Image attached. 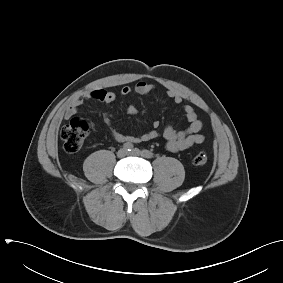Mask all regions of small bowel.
Listing matches in <instances>:
<instances>
[{
    "label": "small bowel",
    "mask_w": 283,
    "mask_h": 283,
    "mask_svg": "<svg viewBox=\"0 0 283 283\" xmlns=\"http://www.w3.org/2000/svg\"><path fill=\"white\" fill-rule=\"evenodd\" d=\"M155 86L146 81H139L133 87L124 86L121 89V94L123 96H127L129 94H137V95H146L154 91ZM167 96L175 103L182 104L183 97L174 90H168ZM116 99V95L112 91H108L105 89H97L90 92H87L76 99H74L71 104L66 108L64 117L66 119L71 118L77 113L78 108L86 101V100H97L104 103H112ZM184 115L186 120L189 122V126L185 130H177L173 125H167L163 132L162 137L166 141V149L170 152H181L187 150L194 145L201 144L205 140V136L200 133L203 128V122L198 118V115L193 108V106L189 104H184L182 106ZM127 112L129 114H136L137 108L135 105H129L127 107ZM105 123L108 125L112 137L117 142H129V143H140L146 142L150 140L157 139L161 136L158 128L160 126L159 121L153 122V128L141 135L131 136L120 133L117 131L111 124V120L108 115H105Z\"/></svg>",
    "instance_id": "c3829d8e"
}]
</instances>
